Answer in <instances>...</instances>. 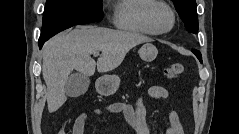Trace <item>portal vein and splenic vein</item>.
<instances>
[{"instance_id":"obj_1","label":"portal vein and splenic vein","mask_w":239,"mask_h":134,"mask_svg":"<svg viewBox=\"0 0 239 134\" xmlns=\"http://www.w3.org/2000/svg\"><path fill=\"white\" fill-rule=\"evenodd\" d=\"M93 55L94 56H99V52H94Z\"/></svg>"}]
</instances>
